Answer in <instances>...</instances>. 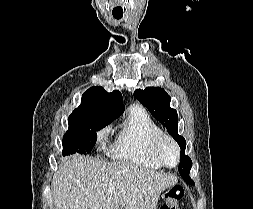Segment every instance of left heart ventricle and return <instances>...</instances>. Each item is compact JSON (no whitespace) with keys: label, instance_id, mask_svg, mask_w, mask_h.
<instances>
[{"label":"left heart ventricle","instance_id":"left-heart-ventricle-1","mask_svg":"<svg viewBox=\"0 0 253 209\" xmlns=\"http://www.w3.org/2000/svg\"><path fill=\"white\" fill-rule=\"evenodd\" d=\"M161 152L167 164L174 165L176 163L177 161L176 150L171 142L165 141L163 143Z\"/></svg>","mask_w":253,"mask_h":209}]
</instances>
